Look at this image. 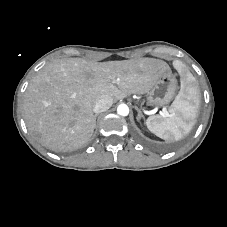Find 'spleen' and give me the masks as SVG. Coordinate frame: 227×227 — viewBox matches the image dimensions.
Instances as JSON below:
<instances>
[{
  "label": "spleen",
  "mask_w": 227,
  "mask_h": 227,
  "mask_svg": "<svg viewBox=\"0 0 227 227\" xmlns=\"http://www.w3.org/2000/svg\"><path fill=\"white\" fill-rule=\"evenodd\" d=\"M198 89L194 77L187 73L181 81V91L172 103L167 117L151 116L147 119L148 129L166 141H178L190 132L198 111Z\"/></svg>",
  "instance_id": "obj_1"
}]
</instances>
